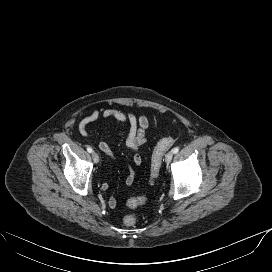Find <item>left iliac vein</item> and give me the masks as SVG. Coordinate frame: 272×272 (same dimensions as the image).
I'll return each instance as SVG.
<instances>
[{"instance_id": "4c4485c4", "label": "left iliac vein", "mask_w": 272, "mask_h": 272, "mask_svg": "<svg viewBox=\"0 0 272 272\" xmlns=\"http://www.w3.org/2000/svg\"><path fill=\"white\" fill-rule=\"evenodd\" d=\"M173 158V152L169 151L166 155H165V162L166 163H170L172 161Z\"/></svg>"}]
</instances>
